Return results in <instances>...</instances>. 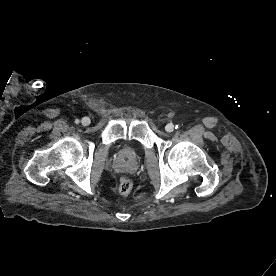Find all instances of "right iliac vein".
Returning a JSON list of instances; mask_svg holds the SVG:
<instances>
[{
  "label": "right iliac vein",
  "instance_id": "right-iliac-vein-1",
  "mask_svg": "<svg viewBox=\"0 0 276 276\" xmlns=\"http://www.w3.org/2000/svg\"><path fill=\"white\" fill-rule=\"evenodd\" d=\"M90 119L88 118V117H84V118H82V120H81V124L83 125V126H88L89 124H90Z\"/></svg>",
  "mask_w": 276,
  "mask_h": 276
}]
</instances>
